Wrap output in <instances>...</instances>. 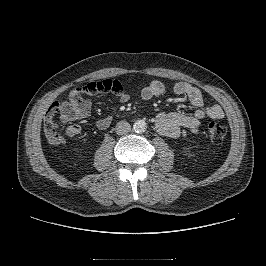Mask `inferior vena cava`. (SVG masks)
<instances>
[{"label": "inferior vena cava", "mask_w": 266, "mask_h": 266, "mask_svg": "<svg viewBox=\"0 0 266 266\" xmlns=\"http://www.w3.org/2000/svg\"><path fill=\"white\" fill-rule=\"evenodd\" d=\"M131 130V126L127 121H119L115 127V131L118 135H124Z\"/></svg>", "instance_id": "1"}]
</instances>
